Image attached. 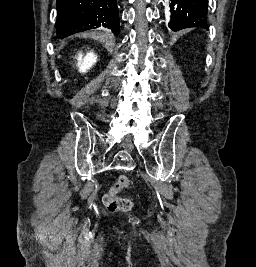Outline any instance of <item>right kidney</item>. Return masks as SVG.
Returning <instances> with one entry per match:
<instances>
[{"mask_svg":"<svg viewBox=\"0 0 256 267\" xmlns=\"http://www.w3.org/2000/svg\"><path fill=\"white\" fill-rule=\"evenodd\" d=\"M77 60L79 72H81V74H86L87 70H90L97 62V58L93 52H88L84 58H82V54H78Z\"/></svg>","mask_w":256,"mask_h":267,"instance_id":"1","label":"right kidney"}]
</instances>
